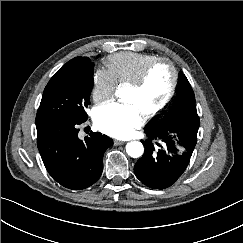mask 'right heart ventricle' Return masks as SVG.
I'll return each mask as SVG.
<instances>
[{"instance_id":"obj_1","label":"right heart ventricle","mask_w":243,"mask_h":243,"mask_svg":"<svg viewBox=\"0 0 243 243\" xmlns=\"http://www.w3.org/2000/svg\"><path fill=\"white\" fill-rule=\"evenodd\" d=\"M154 54L137 52H119L109 56L105 65L117 84L125 85L135 79L141 70L152 60Z\"/></svg>"}]
</instances>
